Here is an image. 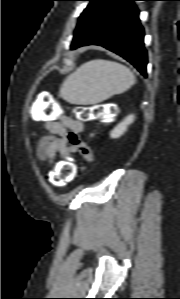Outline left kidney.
<instances>
[{
	"instance_id": "1",
	"label": "left kidney",
	"mask_w": 180,
	"mask_h": 299,
	"mask_svg": "<svg viewBox=\"0 0 180 299\" xmlns=\"http://www.w3.org/2000/svg\"><path fill=\"white\" fill-rule=\"evenodd\" d=\"M134 115L127 116L121 123H119L110 133L111 138H119L127 130L128 125L133 123Z\"/></svg>"
}]
</instances>
